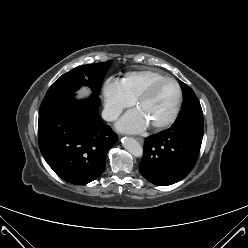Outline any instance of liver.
Masks as SVG:
<instances>
[{
    "label": "liver",
    "instance_id": "1",
    "mask_svg": "<svg viewBox=\"0 0 248 248\" xmlns=\"http://www.w3.org/2000/svg\"><path fill=\"white\" fill-rule=\"evenodd\" d=\"M78 93H79L78 97H84V96H88L90 94V91L89 89L84 87Z\"/></svg>",
    "mask_w": 248,
    "mask_h": 248
}]
</instances>
